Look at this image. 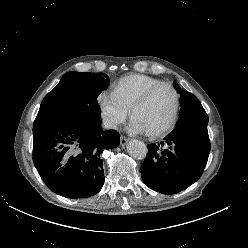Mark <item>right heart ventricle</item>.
Listing matches in <instances>:
<instances>
[{
	"instance_id": "e07e8e85",
	"label": "right heart ventricle",
	"mask_w": 248,
	"mask_h": 248,
	"mask_svg": "<svg viewBox=\"0 0 248 248\" xmlns=\"http://www.w3.org/2000/svg\"><path fill=\"white\" fill-rule=\"evenodd\" d=\"M161 82L159 79L147 75L130 74L115 84L112 93L118 102L130 112L134 104L149 88Z\"/></svg>"
}]
</instances>
